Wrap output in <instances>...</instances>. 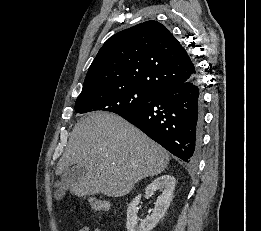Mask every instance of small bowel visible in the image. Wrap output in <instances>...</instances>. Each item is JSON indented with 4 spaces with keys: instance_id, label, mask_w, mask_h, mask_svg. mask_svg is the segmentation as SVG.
Masks as SVG:
<instances>
[{
    "instance_id": "1",
    "label": "small bowel",
    "mask_w": 261,
    "mask_h": 231,
    "mask_svg": "<svg viewBox=\"0 0 261 231\" xmlns=\"http://www.w3.org/2000/svg\"><path fill=\"white\" fill-rule=\"evenodd\" d=\"M80 231H101L98 227L84 226Z\"/></svg>"
}]
</instances>
